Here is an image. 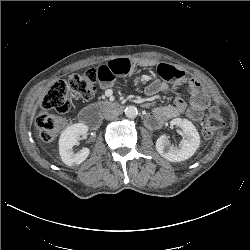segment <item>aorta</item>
I'll use <instances>...</instances> for the list:
<instances>
[{"label":"aorta","instance_id":"762f6f07","mask_svg":"<svg viewBox=\"0 0 250 250\" xmlns=\"http://www.w3.org/2000/svg\"><path fill=\"white\" fill-rule=\"evenodd\" d=\"M125 115L128 118H135L138 115V110L135 106H127L125 108Z\"/></svg>","mask_w":250,"mask_h":250}]
</instances>
